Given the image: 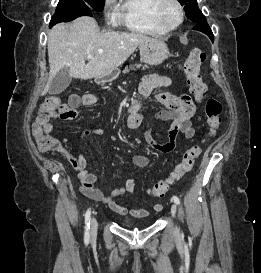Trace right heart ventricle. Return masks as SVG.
<instances>
[{
	"label": "right heart ventricle",
	"mask_w": 261,
	"mask_h": 273,
	"mask_svg": "<svg viewBox=\"0 0 261 273\" xmlns=\"http://www.w3.org/2000/svg\"><path fill=\"white\" fill-rule=\"evenodd\" d=\"M158 0H116L113 19L128 31L146 35L168 33L154 19V8Z\"/></svg>",
	"instance_id": "right-heart-ventricle-1"
}]
</instances>
